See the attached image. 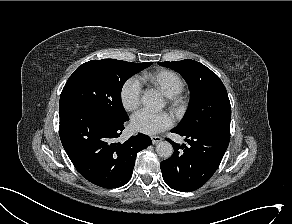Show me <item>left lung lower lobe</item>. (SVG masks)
I'll use <instances>...</instances> for the list:
<instances>
[{
	"instance_id": "left-lung-lower-lobe-1",
	"label": "left lung lower lobe",
	"mask_w": 292,
	"mask_h": 224,
	"mask_svg": "<svg viewBox=\"0 0 292 224\" xmlns=\"http://www.w3.org/2000/svg\"><path fill=\"white\" fill-rule=\"evenodd\" d=\"M172 132L184 136L189 146L169 140L174 153L160 164L163 179L174 190L193 191L206 183L217 170L229 145L230 134H186L175 128Z\"/></svg>"
}]
</instances>
